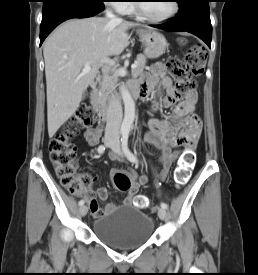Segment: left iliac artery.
<instances>
[{
    "label": "left iliac artery",
    "mask_w": 258,
    "mask_h": 275,
    "mask_svg": "<svg viewBox=\"0 0 258 275\" xmlns=\"http://www.w3.org/2000/svg\"><path fill=\"white\" fill-rule=\"evenodd\" d=\"M128 137H129L128 131H126L122 134V138H121L122 149L129 161H131L133 163H138L137 157L128 148ZM161 207L164 209H167V204L162 202Z\"/></svg>",
    "instance_id": "left-iliac-artery-1"
}]
</instances>
